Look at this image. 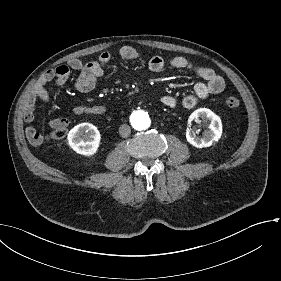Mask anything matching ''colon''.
<instances>
[{
    "label": "colon",
    "mask_w": 281,
    "mask_h": 281,
    "mask_svg": "<svg viewBox=\"0 0 281 281\" xmlns=\"http://www.w3.org/2000/svg\"><path fill=\"white\" fill-rule=\"evenodd\" d=\"M239 99L233 96L226 98L227 106L234 108L239 106ZM67 124L64 122H57L54 127V131L51 133L49 138L61 139L66 135Z\"/></svg>",
    "instance_id": "colon-1"
}]
</instances>
